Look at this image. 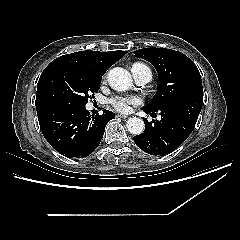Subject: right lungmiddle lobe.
I'll return each mask as SVG.
<instances>
[{
  "mask_svg": "<svg viewBox=\"0 0 240 240\" xmlns=\"http://www.w3.org/2000/svg\"><path fill=\"white\" fill-rule=\"evenodd\" d=\"M102 77H95L71 65H58L40 77L36 106L47 108L58 104L85 107L100 88Z\"/></svg>",
  "mask_w": 240,
  "mask_h": 240,
  "instance_id": "right-lung-middle-lobe-1",
  "label": "right lung middle lobe"
}]
</instances>
